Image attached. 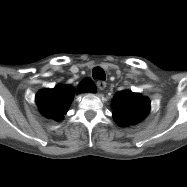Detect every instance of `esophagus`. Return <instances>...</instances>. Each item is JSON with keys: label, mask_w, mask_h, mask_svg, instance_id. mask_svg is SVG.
Listing matches in <instances>:
<instances>
[{"label": "esophagus", "mask_w": 187, "mask_h": 187, "mask_svg": "<svg viewBox=\"0 0 187 187\" xmlns=\"http://www.w3.org/2000/svg\"><path fill=\"white\" fill-rule=\"evenodd\" d=\"M99 90H104L106 87V82L103 80H98L96 83Z\"/></svg>", "instance_id": "obj_1"}]
</instances>
